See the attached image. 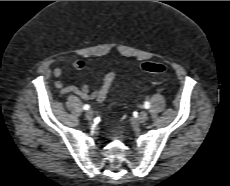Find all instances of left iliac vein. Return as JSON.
I'll list each match as a JSON object with an SVG mask.
<instances>
[{"label":"left iliac vein","instance_id":"4c4485c4","mask_svg":"<svg viewBox=\"0 0 230 186\" xmlns=\"http://www.w3.org/2000/svg\"><path fill=\"white\" fill-rule=\"evenodd\" d=\"M147 119H148V113L146 111H142L137 118L138 122L140 123H144L145 121H147Z\"/></svg>","mask_w":230,"mask_h":186}]
</instances>
